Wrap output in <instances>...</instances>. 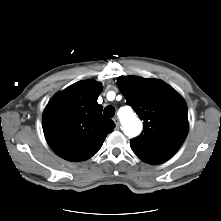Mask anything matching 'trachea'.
Segmentation results:
<instances>
[{
    "instance_id": "trachea-1",
    "label": "trachea",
    "mask_w": 221,
    "mask_h": 221,
    "mask_svg": "<svg viewBox=\"0 0 221 221\" xmlns=\"http://www.w3.org/2000/svg\"><path fill=\"white\" fill-rule=\"evenodd\" d=\"M104 115L108 118H112L115 115V108L113 106L105 107Z\"/></svg>"
}]
</instances>
